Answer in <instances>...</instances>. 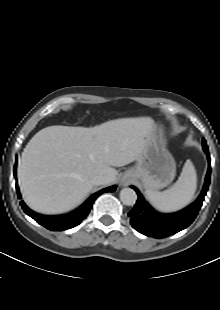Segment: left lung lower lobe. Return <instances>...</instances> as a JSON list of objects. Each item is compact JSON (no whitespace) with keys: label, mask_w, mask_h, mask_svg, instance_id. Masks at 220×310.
<instances>
[{"label":"left lung lower lobe","mask_w":220,"mask_h":310,"mask_svg":"<svg viewBox=\"0 0 220 310\" xmlns=\"http://www.w3.org/2000/svg\"><path fill=\"white\" fill-rule=\"evenodd\" d=\"M204 151L208 158V171L203 189L195 202L179 212L162 214L155 211L145 201L139 190L132 186L138 194V200L128 216L135 230L149 237L165 238L185 229L194 221L210 184L211 165L208 147L204 148Z\"/></svg>","instance_id":"0a47b994"}]
</instances>
